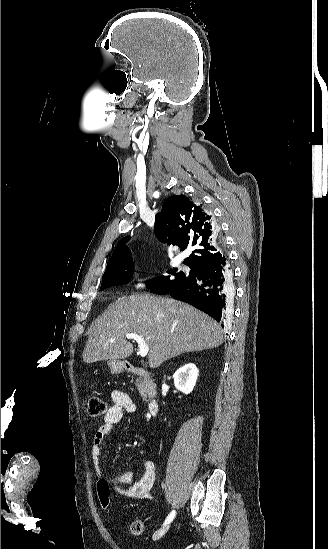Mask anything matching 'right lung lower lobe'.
<instances>
[{"mask_svg": "<svg viewBox=\"0 0 328 549\" xmlns=\"http://www.w3.org/2000/svg\"><path fill=\"white\" fill-rule=\"evenodd\" d=\"M232 274L229 262L223 256L193 269V276L184 283L164 290L173 297L187 302L210 315L224 326L226 292L231 290Z\"/></svg>", "mask_w": 328, "mask_h": 549, "instance_id": "98d812e1", "label": "right lung lower lobe"}]
</instances>
